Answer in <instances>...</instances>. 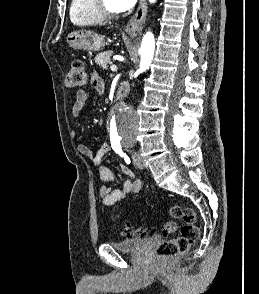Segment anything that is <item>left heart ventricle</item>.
Returning <instances> with one entry per match:
<instances>
[{
  "mask_svg": "<svg viewBox=\"0 0 259 294\" xmlns=\"http://www.w3.org/2000/svg\"><path fill=\"white\" fill-rule=\"evenodd\" d=\"M104 4H105V6H106L108 9H110V10H112V11H119V10L116 8V6H115L113 0H104Z\"/></svg>",
  "mask_w": 259,
  "mask_h": 294,
  "instance_id": "obj_1",
  "label": "left heart ventricle"
}]
</instances>
